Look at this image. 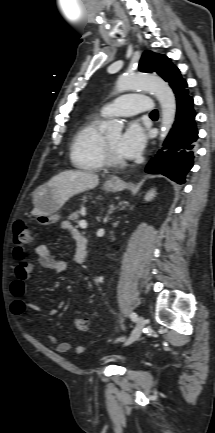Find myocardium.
<instances>
[{"label":"myocardium","instance_id":"f54148a6","mask_svg":"<svg viewBox=\"0 0 215 433\" xmlns=\"http://www.w3.org/2000/svg\"><path fill=\"white\" fill-rule=\"evenodd\" d=\"M103 158L105 165L111 167H122L126 164L124 159L116 156L106 136L103 138Z\"/></svg>","mask_w":215,"mask_h":433}]
</instances>
